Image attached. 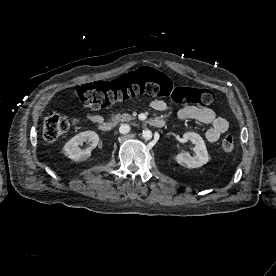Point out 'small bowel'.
Here are the masks:
<instances>
[{"mask_svg":"<svg viewBox=\"0 0 276 276\" xmlns=\"http://www.w3.org/2000/svg\"><path fill=\"white\" fill-rule=\"evenodd\" d=\"M151 107L159 112L167 109V104L162 100H153ZM177 116L181 120H196L204 124H210L211 127L206 131L205 136L209 142H216L220 136L229 129V122L226 118L217 115V113L207 107L185 106L181 108ZM87 118L93 123H102L103 118L96 114H87Z\"/></svg>","mask_w":276,"mask_h":276,"instance_id":"obj_1","label":"small bowel"}]
</instances>
